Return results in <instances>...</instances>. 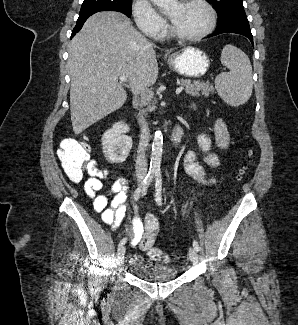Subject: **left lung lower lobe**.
Listing matches in <instances>:
<instances>
[{
  "label": "left lung lower lobe",
  "instance_id": "left-lung-lower-lobe-1",
  "mask_svg": "<svg viewBox=\"0 0 298 325\" xmlns=\"http://www.w3.org/2000/svg\"><path fill=\"white\" fill-rule=\"evenodd\" d=\"M227 32L244 35L249 38L253 44V36L245 12L232 14L224 21L218 22L216 30L207 37Z\"/></svg>",
  "mask_w": 298,
  "mask_h": 325
}]
</instances>
